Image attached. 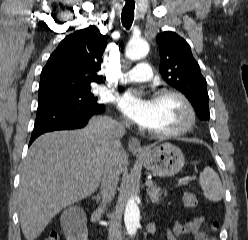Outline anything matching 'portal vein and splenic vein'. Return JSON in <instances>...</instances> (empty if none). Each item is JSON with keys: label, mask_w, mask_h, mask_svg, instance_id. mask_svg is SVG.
<instances>
[{"label": "portal vein and splenic vein", "mask_w": 248, "mask_h": 240, "mask_svg": "<svg viewBox=\"0 0 248 240\" xmlns=\"http://www.w3.org/2000/svg\"><path fill=\"white\" fill-rule=\"evenodd\" d=\"M146 185L151 186V185H153V182L152 181H146Z\"/></svg>", "instance_id": "portal-vein-and-splenic-vein-1"}]
</instances>
